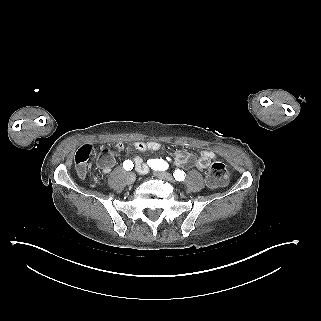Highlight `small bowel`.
Returning <instances> with one entry per match:
<instances>
[{"mask_svg":"<svg viewBox=\"0 0 321 321\" xmlns=\"http://www.w3.org/2000/svg\"><path fill=\"white\" fill-rule=\"evenodd\" d=\"M135 150H137L140 154L145 153L146 151H159L161 148V144L157 141H137L133 144ZM100 151V158L98 160V167L104 175H109L112 167L115 164L116 157L122 156L126 152V148L123 143L118 142L116 144V151L110 152L106 147L100 146L96 147L92 143L84 144L77 152L76 157L83 156L88 160L90 154H92L95 150ZM75 157V158H76ZM216 158V154L210 150L201 151L197 157L193 154L189 153L185 150H178L174 154L175 163L181 167H197L199 169H206L211 160ZM134 165L138 172L146 173L149 170L148 161H145L141 155H137L134 159ZM81 177L85 175L79 174ZM94 180L99 182L100 179L94 176Z\"/></svg>","mask_w":321,"mask_h":321,"instance_id":"c3829d8e","label":"small bowel"}]
</instances>
